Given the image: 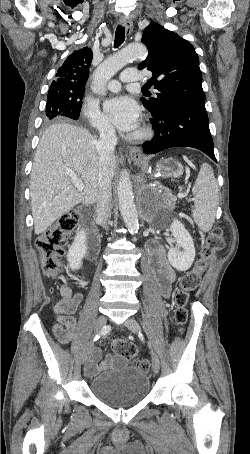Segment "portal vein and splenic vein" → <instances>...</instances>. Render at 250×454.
I'll use <instances>...</instances> for the list:
<instances>
[{
	"instance_id": "18ae733b",
	"label": "portal vein and splenic vein",
	"mask_w": 250,
	"mask_h": 454,
	"mask_svg": "<svg viewBox=\"0 0 250 454\" xmlns=\"http://www.w3.org/2000/svg\"><path fill=\"white\" fill-rule=\"evenodd\" d=\"M71 181H72V184L76 187V189H77L78 191H83V189H84V184H83V182L81 181V179H79V177H78L77 175H73V176L71 177ZM177 197H178V198H183V197H184V194L179 193V194L177 195Z\"/></svg>"
}]
</instances>
